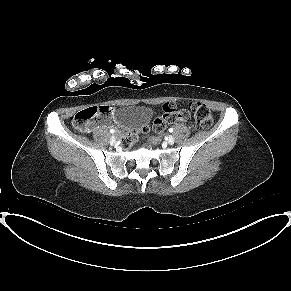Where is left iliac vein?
<instances>
[{"label":"left iliac vein","mask_w":291,"mask_h":291,"mask_svg":"<svg viewBox=\"0 0 291 291\" xmlns=\"http://www.w3.org/2000/svg\"><path fill=\"white\" fill-rule=\"evenodd\" d=\"M174 142H175L174 137L170 135V136L167 138V143H168L169 145H172V144H174Z\"/></svg>","instance_id":"1"}]
</instances>
